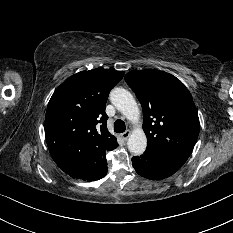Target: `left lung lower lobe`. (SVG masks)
Here are the masks:
<instances>
[{"mask_svg": "<svg viewBox=\"0 0 233 233\" xmlns=\"http://www.w3.org/2000/svg\"><path fill=\"white\" fill-rule=\"evenodd\" d=\"M185 162L184 159L152 150H146L141 156L132 158L136 172L151 180H161L171 176Z\"/></svg>", "mask_w": 233, "mask_h": 233, "instance_id": "obj_1", "label": "left lung lower lobe"}]
</instances>
